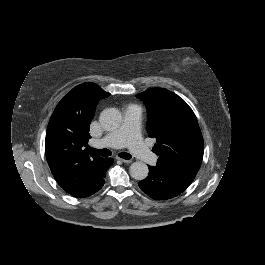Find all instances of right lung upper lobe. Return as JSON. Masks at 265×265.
Instances as JSON below:
<instances>
[{
    "label": "right lung upper lobe",
    "instance_id": "obj_1",
    "mask_svg": "<svg viewBox=\"0 0 265 265\" xmlns=\"http://www.w3.org/2000/svg\"><path fill=\"white\" fill-rule=\"evenodd\" d=\"M109 95L94 83L80 84L60 100L50 118L46 160L57 183L71 195L93 189L105 176L107 158L90 154L84 146L96 105Z\"/></svg>",
    "mask_w": 265,
    "mask_h": 265
}]
</instances>
